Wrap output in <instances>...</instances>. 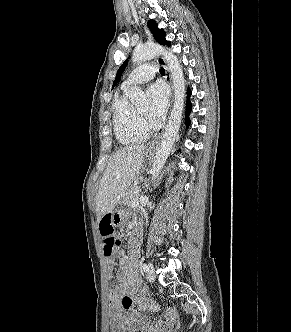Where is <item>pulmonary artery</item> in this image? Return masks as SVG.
Returning <instances> with one entry per match:
<instances>
[{"mask_svg":"<svg viewBox=\"0 0 291 332\" xmlns=\"http://www.w3.org/2000/svg\"><path fill=\"white\" fill-rule=\"evenodd\" d=\"M157 71L158 68L154 64H142L130 72V74L123 82V87L127 89L132 85L147 82L154 78Z\"/></svg>","mask_w":291,"mask_h":332,"instance_id":"e3ab8cb5","label":"pulmonary artery"}]
</instances>
